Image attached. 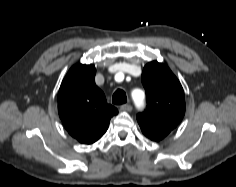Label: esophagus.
<instances>
[{"label":"esophagus","mask_w":236,"mask_h":187,"mask_svg":"<svg viewBox=\"0 0 236 187\" xmlns=\"http://www.w3.org/2000/svg\"><path fill=\"white\" fill-rule=\"evenodd\" d=\"M120 110L130 112L132 110V106L130 104H123L120 106Z\"/></svg>","instance_id":"esophagus-1"}]
</instances>
